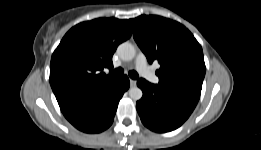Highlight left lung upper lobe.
I'll return each mask as SVG.
<instances>
[{
    "label": "left lung upper lobe",
    "instance_id": "5c2ea615",
    "mask_svg": "<svg viewBox=\"0 0 261 150\" xmlns=\"http://www.w3.org/2000/svg\"><path fill=\"white\" fill-rule=\"evenodd\" d=\"M129 22L149 63L158 61L160 85H182L201 92L205 76L203 51L182 24L160 16L142 15Z\"/></svg>",
    "mask_w": 261,
    "mask_h": 150
}]
</instances>
